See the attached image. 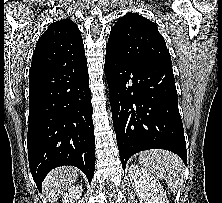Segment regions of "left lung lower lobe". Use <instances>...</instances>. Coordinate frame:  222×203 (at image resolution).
Segmentation results:
<instances>
[{
  "label": "left lung lower lobe",
  "instance_id": "1",
  "mask_svg": "<svg viewBox=\"0 0 222 203\" xmlns=\"http://www.w3.org/2000/svg\"><path fill=\"white\" fill-rule=\"evenodd\" d=\"M113 126L122 167L137 152L165 149L187 163V150L172 67L131 61L106 49Z\"/></svg>",
  "mask_w": 222,
  "mask_h": 203
}]
</instances>
